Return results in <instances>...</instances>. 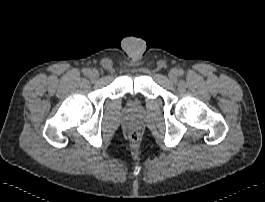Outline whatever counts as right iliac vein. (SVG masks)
<instances>
[{
    "instance_id": "obj_1",
    "label": "right iliac vein",
    "mask_w": 265,
    "mask_h": 202,
    "mask_svg": "<svg viewBox=\"0 0 265 202\" xmlns=\"http://www.w3.org/2000/svg\"><path fill=\"white\" fill-rule=\"evenodd\" d=\"M99 77V73L96 70H91L89 73V78L90 79H97Z\"/></svg>"
}]
</instances>
